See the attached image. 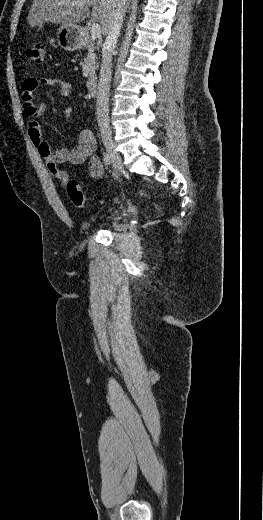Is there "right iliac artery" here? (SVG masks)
<instances>
[{
  "mask_svg": "<svg viewBox=\"0 0 263 520\" xmlns=\"http://www.w3.org/2000/svg\"><path fill=\"white\" fill-rule=\"evenodd\" d=\"M104 163L106 166L111 164V158L109 157V155L107 153H104Z\"/></svg>",
  "mask_w": 263,
  "mask_h": 520,
  "instance_id": "right-iliac-artery-1",
  "label": "right iliac artery"
}]
</instances>
